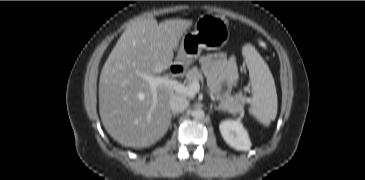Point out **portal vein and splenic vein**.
I'll use <instances>...</instances> for the list:
<instances>
[{
    "label": "portal vein and splenic vein",
    "mask_w": 365,
    "mask_h": 180,
    "mask_svg": "<svg viewBox=\"0 0 365 180\" xmlns=\"http://www.w3.org/2000/svg\"><path fill=\"white\" fill-rule=\"evenodd\" d=\"M141 77H143L149 83L154 99L156 98V89L158 86L168 87L191 98L194 97L200 90V84L197 80H194L190 85L187 86L175 79H172L169 76L160 77L141 74Z\"/></svg>",
    "instance_id": "portal-vein-and-splenic-vein-1"
}]
</instances>
